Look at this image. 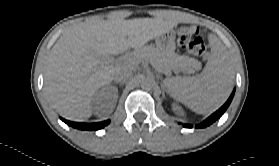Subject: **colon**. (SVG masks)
Returning a JSON list of instances; mask_svg holds the SVG:
<instances>
[{
	"mask_svg": "<svg viewBox=\"0 0 279 166\" xmlns=\"http://www.w3.org/2000/svg\"><path fill=\"white\" fill-rule=\"evenodd\" d=\"M178 42L181 47L192 55L206 60L209 56L207 46L200 35V29L196 25H184L177 30Z\"/></svg>",
	"mask_w": 279,
	"mask_h": 166,
	"instance_id": "obj_1",
	"label": "colon"
}]
</instances>
